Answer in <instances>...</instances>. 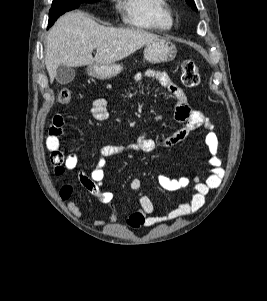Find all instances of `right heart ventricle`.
I'll use <instances>...</instances> for the list:
<instances>
[{
	"label": "right heart ventricle",
	"instance_id": "obj_1",
	"mask_svg": "<svg viewBox=\"0 0 267 301\" xmlns=\"http://www.w3.org/2000/svg\"><path fill=\"white\" fill-rule=\"evenodd\" d=\"M124 21L131 27L165 31L173 26V17L166 0H118Z\"/></svg>",
	"mask_w": 267,
	"mask_h": 301
}]
</instances>
